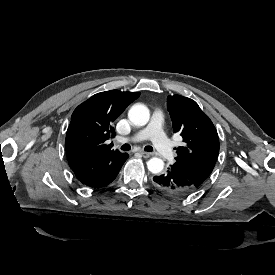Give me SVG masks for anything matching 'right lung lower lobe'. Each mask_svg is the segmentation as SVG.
Instances as JSON below:
<instances>
[{
  "label": "right lung lower lobe",
  "instance_id": "98d812e1",
  "mask_svg": "<svg viewBox=\"0 0 275 275\" xmlns=\"http://www.w3.org/2000/svg\"><path fill=\"white\" fill-rule=\"evenodd\" d=\"M129 155L120 151L68 161L76 178L84 185L101 188L109 185Z\"/></svg>",
  "mask_w": 275,
  "mask_h": 275
}]
</instances>
